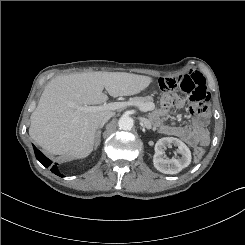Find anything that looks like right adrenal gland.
<instances>
[{"label":"right adrenal gland","instance_id":"obj_1","mask_svg":"<svg viewBox=\"0 0 245 245\" xmlns=\"http://www.w3.org/2000/svg\"><path fill=\"white\" fill-rule=\"evenodd\" d=\"M103 126H100L98 131H97V135H96V139H95V149L98 147V145L100 144V137H101V128Z\"/></svg>","mask_w":245,"mask_h":245}]
</instances>
